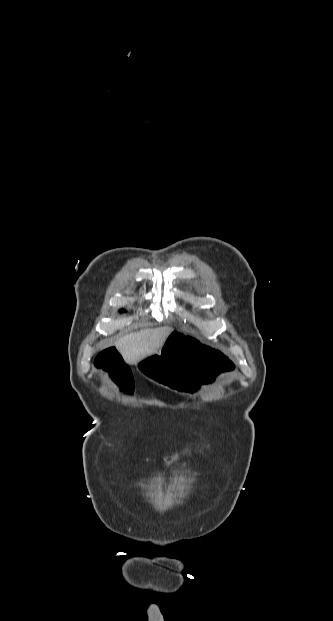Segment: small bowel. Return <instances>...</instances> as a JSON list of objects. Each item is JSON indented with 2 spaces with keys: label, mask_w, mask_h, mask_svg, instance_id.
<instances>
[{
  "label": "small bowel",
  "mask_w": 333,
  "mask_h": 621,
  "mask_svg": "<svg viewBox=\"0 0 333 621\" xmlns=\"http://www.w3.org/2000/svg\"><path fill=\"white\" fill-rule=\"evenodd\" d=\"M94 365L106 372L123 392L133 391L134 381L130 367L115 347L101 351L96 356Z\"/></svg>",
  "instance_id": "small-bowel-1"
}]
</instances>
